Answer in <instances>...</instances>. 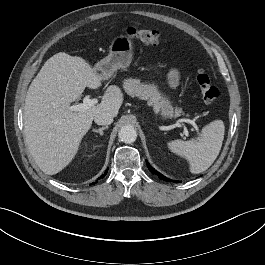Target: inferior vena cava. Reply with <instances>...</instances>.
I'll return each mask as SVG.
<instances>
[{"label":"inferior vena cava","mask_w":265,"mask_h":265,"mask_svg":"<svg viewBox=\"0 0 265 265\" xmlns=\"http://www.w3.org/2000/svg\"><path fill=\"white\" fill-rule=\"evenodd\" d=\"M114 115L108 111H102L95 115L94 121L98 125H109L113 122Z\"/></svg>","instance_id":"obj_1"}]
</instances>
